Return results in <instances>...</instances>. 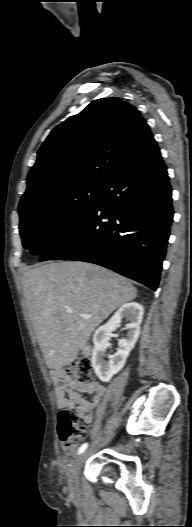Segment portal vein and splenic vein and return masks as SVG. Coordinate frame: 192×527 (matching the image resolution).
Segmentation results:
<instances>
[{
    "label": "portal vein and splenic vein",
    "mask_w": 192,
    "mask_h": 527,
    "mask_svg": "<svg viewBox=\"0 0 192 527\" xmlns=\"http://www.w3.org/2000/svg\"><path fill=\"white\" fill-rule=\"evenodd\" d=\"M72 311H73V310H72L71 308H67V309H66V312H67V313H72ZM82 317L85 318V319H89V318H91L92 316H91V315H82Z\"/></svg>",
    "instance_id": "1"
}]
</instances>
